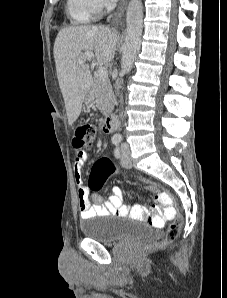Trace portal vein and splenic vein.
I'll return each instance as SVG.
<instances>
[{"instance_id":"obj_1","label":"portal vein and splenic vein","mask_w":227,"mask_h":298,"mask_svg":"<svg viewBox=\"0 0 227 298\" xmlns=\"http://www.w3.org/2000/svg\"><path fill=\"white\" fill-rule=\"evenodd\" d=\"M95 55L93 52L87 51L84 52L78 59L79 64H83L85 60L94 59ZM98 78L99 80H105L108 78V71L105 67H101L98 69Z\"/></svg>"}]
</instances>
